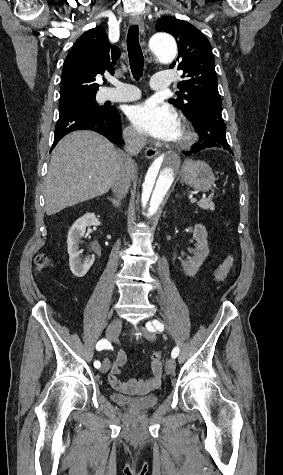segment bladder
<instances>
[{
	"label": "bladder",
	"mask_w": 283,
	"mask_h": 475,
	"mask_svg": "<svg viewBox=\"0 0 283 475\" xmlns=\"http://www.w3.org/2000/svg\"><path fill=\"white\" fill-rule=\"evenodd\" d=\"M160 394L145 395L141 397H126L120 393L114 392L113 401L132 410L147 411L158 404Z\"/></svg>",
	"instance_id": "obj_1"
}]
</instances>
